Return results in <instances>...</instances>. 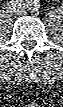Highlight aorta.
I'll list each match as a JSON object with an SVG mask.
<instances>
[{
	"instance_id": "762f6f07",
	"label": "aorta",
	"mask_w": 63,
	"mask_h": 107,
	"mask_svg": "<svg viewBox=\"0 0 63 107\" xmlns=\"http://www.w3.org/2000/svg\"><path fill=\"white\" fill-rule=\"evenodd\" d=\"M26 8L31 11H37L39 9V1L38 0H28L26 2Z\"/></svg>"
}]
</instances>
